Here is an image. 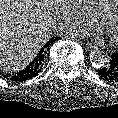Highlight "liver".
<instances>
[{
	"mask_svg": "<svg viewBox=\"0 0 118 118\" xmlns=\"http://www.w3.org/2000/svg\"><path fill=\"white\" fill-rule=\"evenodd\" d=\"M61 0H0V69L19 71L57 26Z\"/></svg>",
	"mask_w": 118,
	"mask_h": 118,
	"instance_id": "liver-1",
	"label": "liver"
}]
</instances>
